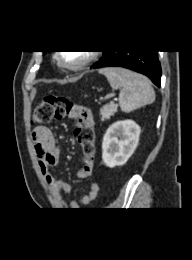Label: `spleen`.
Masks as SVG:
<instances>
[{
    "label": "spleen",
    "mask_w": 192,
    "mask_h": 260,
    "mask_svg": "<svg viewBox=\"0 0 192 260\" xmlns=\"http://www.w3.org/2000/svg\"><path fill=\"white\" fill-rule=\"evenodd\" d=\"M113 89H119L121 110L129 113L155 101V91L150 80L138 73L123 68L107 67L99 70Z\"/></svg>",
    "instance_id": "spleen-1"
}]
</instances>
